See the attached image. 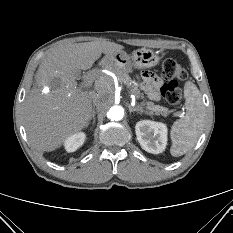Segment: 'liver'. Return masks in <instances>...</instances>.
I'll use <instances>...</instances> for the list:
<instances>
[{
  "instance_id": "6515ba94",
  "label": "liver",
  "mask_w": 233,
  "mask_h": 233,
  "mask_svg": "<svg viewBox=\"0 0 233 233\" xmlns=\"http://www.w3.org/2000/svg\"><path fill=\"white\" fill-rule=\"evenodd\" d=\"M109 41L66 43L52 49L35 75L37 88L23 103L28 140L38 151H53L89 125L93 113L91 92L77 88L75 73L90 69L101 57L121 52ZM48 91L42 93L43 88Z\"/></svg>"
}]
</instances>
